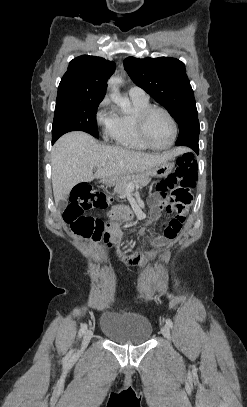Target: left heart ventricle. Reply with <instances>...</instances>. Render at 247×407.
<instances>
[{
    "label": "left heart ventricle",
    "instance_id": "b2bd125f",
    "mask_svg": "<svg viewBox=\"0 0 247 407\" xmlns=\"http://www.w3.org/2000/svg\"><path fill=\"white\" fill-rule=\"evenodd\" d=\"M146 134L155 146H166L173 136L172 123L164 113L154 111L147 119Z\"/></svg>",
    "mask_w": 247,
    "mask_h": 407
}]
</instances>
